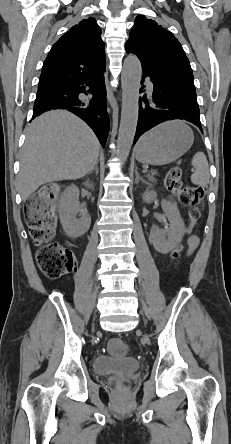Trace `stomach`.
I'll return each mask as SVG.
<instances>
[{"label": "stomach", "mask_w": 231, "mask_h": 444, "mask_svg": "<svg viewBox=\"0 0 231 444\" xmlns=\"http://www.w3.org/2000/svg\"><path fill=\"white\" fill-rule=\"evenodd\" d=\"M193 141L189 126L180 120L168 121L141 137L135 149L136 158L150 165L169 164L185 154Z\"/></svg>", "instance_id": "1"}]
</instances>
